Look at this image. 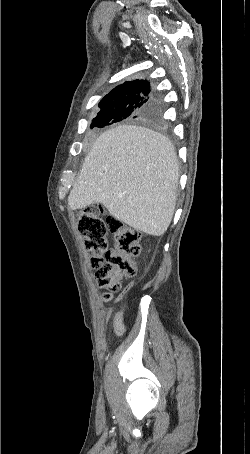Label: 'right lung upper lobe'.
Returning a JSON list of instances; mask_svg holds the SVG:
<instances>
[{
	"label": "right lung upper lobe",
	"mask_w": 250,
	"mask_h": 454,
	"mask_svg": "<svg viewBox=\"0 0 250 454\" xmlns=\"http://www.w3.org/2000/svg\"><path fill=\"white\" fill-rule=\"evenodd\" d=\"M141 85H149V82L147 80H134V81L125 82V83L115 87L113 90H111L110 93H108L104 98H111L114 96H119V94L124 93V92L128 91L129 89L137 87V86H141Z\"/></svg>",
	"instance_id": "cb5924a9"
}]
</instances>
